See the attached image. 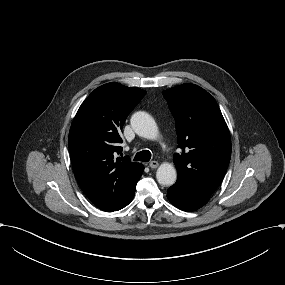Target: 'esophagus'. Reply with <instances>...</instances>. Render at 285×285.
I'll list each match as a JSON object with an SVG mask.
<instances>
[{
  "label": "esophagus",
  "mask_w": 285,
  "mask_h": 285,
  "mask_svg": "<svg viewBox=\"0 0 285 285\" xmlns=\"http://www.w3.org/2000/svg\"><path fill=\"white\" fill-rule=\"evenodd\" d=\"M158 165H159V163H158L157 161H151V162L149 163V167H151L152 169L157 168Z\"/></svg>",
  "instance_id": "esophagus-1"
}]
</instances>
